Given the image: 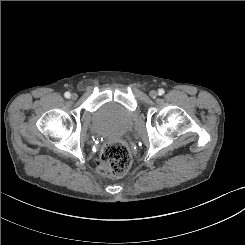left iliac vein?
<instances>
[{
    "instance_id": "obj_1",
    "label": "left iliac vein",
    "mask_w": 245,
    "mask_h": 245,
    "mask_svg": "<svg viewBox=\"0 0 245 245\" xmlns=\"http://www.w3.org/2000/svg\"><path fill=\"white\" fill-rule=\"evenodd\" d=\"M149 95H150L152 98H155V97L158 95V93H157L155 90H152V91H150Z\"/></svg>"
}]
</instances>
